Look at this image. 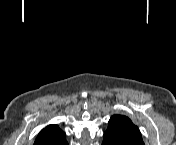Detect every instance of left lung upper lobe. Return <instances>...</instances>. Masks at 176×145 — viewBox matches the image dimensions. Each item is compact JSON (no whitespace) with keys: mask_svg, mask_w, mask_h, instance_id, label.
<instances>
[{"mask_svg":"<svg viewBox=\"0 0 176 145\" xmlns=\"http://www.w3.org/2000/svg\"><path fill=\"white\" fill-rule=\"evenodd\" d=\"M104 135H108L120 145H144L138 127L124 115H113Z\"/></svg>","mask_w":176,"mask_h":145,"instance_id":"5c2ea615","label":"left lung upper lobe"}]
</instances>
